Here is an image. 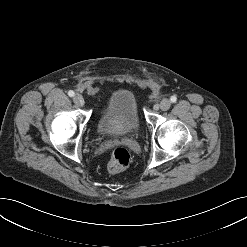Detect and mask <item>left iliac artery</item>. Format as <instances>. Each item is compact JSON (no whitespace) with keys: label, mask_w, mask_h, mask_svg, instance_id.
<instances>
[{"label":"left iliac artery","mask_w":247,"mask_h":247,"mask_svg":"<svg viewBox=\"0 0 247 247\" xmlns=\"http://www.w3.org/2000/svg\"><path fill=\"white\" fill-rule=\"evenodd\" d=\"M170 100H171V102H176L177 101V97L174 95V96H171V98H170Z\"/></svg>","instance_id":"1"}]
</instances>
